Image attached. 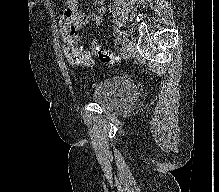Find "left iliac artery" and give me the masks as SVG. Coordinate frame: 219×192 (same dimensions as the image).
I'll return each instance as SVG.
<instances>
[{"mask_svg": "<svg viewBox=\"0 0 219 192\" xmlns=\"http://www.w3.org/2000/svg\"><path fill=\"white\" fill-rule=\"evenodd\" d=\"M120 40H121V38L117 37L115 40L116 44H120Z\"/></svg>", "mask_w": 219, "mask_h": 192, "instance_id": "left-iliac-artery-1", "label": "left iliac artery"}]
</instances>
